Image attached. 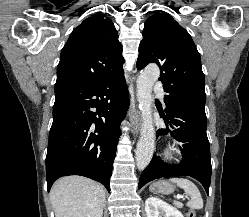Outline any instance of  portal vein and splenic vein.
<instances>
[{"mask_svg":"<svg viewBox=\"0 0 249 217\" xmlns=\"http://www.w3.org/2000/svg\"><path fill=\"white\" fill-rule=\"evenodd\" d=\"M176 198H177V199H181V198L184 199V198H186V197L181 196V195H177Z\"/></svg>","mask_w":249,"mask_h":217,"instance_id":"obj_1","label":"portal vein and splenic vein"}]
</instances>
